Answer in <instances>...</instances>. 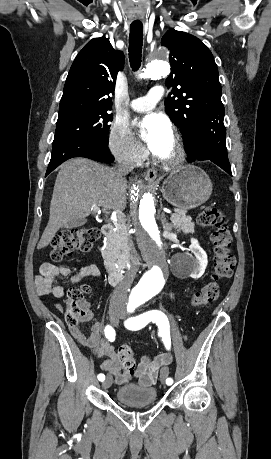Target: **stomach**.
<instances>
[{"label":"stomach","instance_id":"1","mask_svg":"<svg viewBox=\"0 0 271 459\" xmlns=\"http://www.w3.org/2000/svg\"><path fill=\"white\" fill-rule=\"evenodd\" d=\"M161 192L168 204L181 210H191L209 200L212 182L201 168L182 166L164 180Z\"/></svg>","mask_w":271,"mask_h":459}]
</instances>
